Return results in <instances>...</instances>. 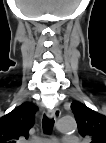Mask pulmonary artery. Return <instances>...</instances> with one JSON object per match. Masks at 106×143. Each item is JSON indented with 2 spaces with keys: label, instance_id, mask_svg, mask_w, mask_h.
I'll return each instance as SVG.
<instances>
[{
  "label": "pulmonary artery",
  "instance_id": "pulmonary-artery-1",
  "mask_svg": "<svg viewBox=\"0 0 106 143\" xmlns=\"http://www.w3.org/2000/svg\"><path fill=\"white\" fill-rule=\"evenodd\" d=\"M66 140H69V141H75L76 139L73 138V137H67Z\"/></svg>",
  "mask_w": 106,
  "mask_h": 143
}]
</instances>
